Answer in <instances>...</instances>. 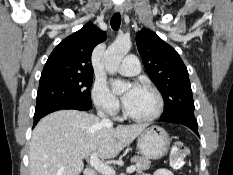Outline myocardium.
<instances>
[{
    "label": "myocardium",
    "instance_id": "obj_1",
    "mask_svg": "<svg viewBox=\"0 0 233 175\" xmlns=\"http://www.w3.org/2000/svg\"><path fill=\"white\" fill-rule=\"evenodd\" d=\"M141 89L150 92L155 97L156 107L154 111L146 116H136V115H132L131 113H129L124 104L123 114L127 119L132 120L134 122H151L157 119L162 114L164 110V99H163L161 92L152 85H149V84L143 85Z\"/></svg>",
    "mask_w": 233,
    "mask_h": 175
}]
</instances>
